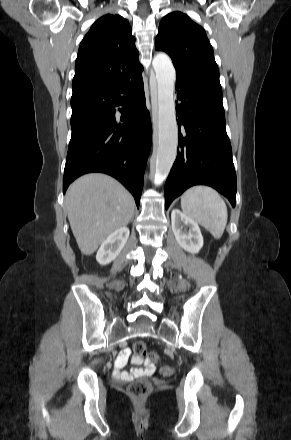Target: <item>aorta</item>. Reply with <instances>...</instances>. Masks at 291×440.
<instances>
[{"instance_id":"762f6f07","label":"aorta","mask_w":291,"mask_h":440,"mask_svg":"<svg viewBox=\"0 0 291 440\" xmlns=\"http://www.w3.org/2000/svg\"><path fill=\"white\" fill-rule=\"evenodd\" d=\"M157 79L158 146L155 157V183H162L168 176L177 155L178 127L173 98L175 69L170 57L164 53L153 59Z\"/></svg>"}]
</instances>
